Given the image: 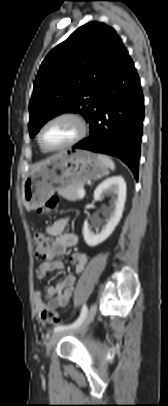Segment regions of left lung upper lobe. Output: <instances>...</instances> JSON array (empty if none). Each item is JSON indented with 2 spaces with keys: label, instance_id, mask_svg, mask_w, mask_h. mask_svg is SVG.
<instances>
[{
  "label": "left lung upper lobe",
  "instance_id": "left-lung-upper-lobe-1",
  "mask_svg": "<svg viewBox=\"0 0 168 406\" xmlns=\"http://www.w3.org/2000/svg\"><path fill=\"white\" fill-rule=\"evenodd\" d=\"M124 49L112 27L94 21L79 27L50 51L34 82L30 135L65 112H79L89 121L99 90Z\"/></svg>",
  "mask_w": 168,
  "mask_h": 406
}]
</instances>
